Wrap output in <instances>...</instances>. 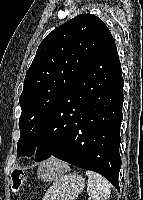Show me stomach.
Instances as JSON below:
<instances>
[{
    "label": "stomach",
    "instance_id": "stomach-1",
    "mask_svg": "<svg viewBox=\"0 0 143 200\" xmlns=\"http://www.w3.org/2000/svg\"><path fill=\"white\" fill-rule=\"evenodd\" d=\"M60 167L50 163L47 170L56 171ZM53 185L47 190L42 200H75L82 192L85 184L84 178L76 173L56 175Z\"/></svg>",
    "mask_w": 143,
    "mask_h": 200
}]
</instances>
